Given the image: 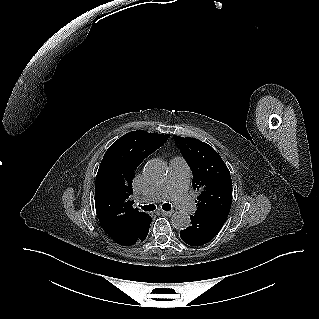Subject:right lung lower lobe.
<instances>
[{
  "instance_id": "98d812e1",
  "label": "right lung lower lobe",
  "mask_w": 319,
  "mask_h": 319,
  "mask_svg": "<svg viewBox=\"0 0 319 319\" xmlns=\"http://www.w3.org/2000/svg\"><path fill=\"white\" fill-rule=\"evenodd\" d=\"M152 218L148 215L135 230V232L127 240V245L130 246L146 239Z\"/></svg>"
}]
</instances>
